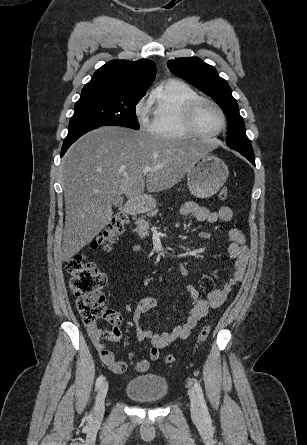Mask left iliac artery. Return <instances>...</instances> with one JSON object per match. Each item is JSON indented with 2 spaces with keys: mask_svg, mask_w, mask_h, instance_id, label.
<instances>
[{
  "mask_svg": "<svg viewBox=\"0 0 307 445\" xmlns=\"http://www.w3.org/2000/svg\"><path fill=\"white\" fill-rule=\"evenodd\" d=\"M194 388H195V391H196L197 396H198L199 401H200V405H201V409H202V413H203L204 419H205L206 422H210L211 418H210V415H209V412H208V408H207V405H206V402H205V399H204L203 391H202V388H201L200 384L196 380L194 382Z\"/></svg>",
  "mask_w": 307,
  "mask_h": 445,
  "instance_id": "obj_1",
  "label": "left iliac artery"
}]
</instances>
